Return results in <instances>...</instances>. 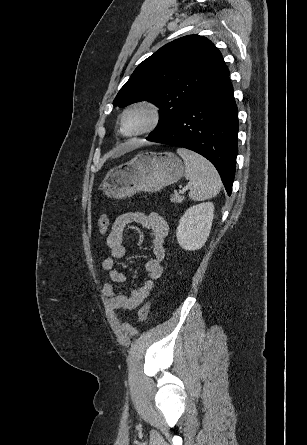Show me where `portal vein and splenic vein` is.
<instances>
[{"instance_id":"obj_1","label":"portal vein and splenic vein","mask_w":307,"mask_h":445,"mask_svg":"<svg viewBox=\"0 0 307 445\" xmlns=\"http://www.w3.org/2000/svg\"><path fill=\"white\" fill-rule=\"evenodd\" d=\"M190 186H192V182H188V184H186V186H183L182 192H185V190H188V188H190Z\"/></svg>"}]
</instances>
